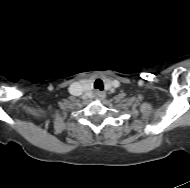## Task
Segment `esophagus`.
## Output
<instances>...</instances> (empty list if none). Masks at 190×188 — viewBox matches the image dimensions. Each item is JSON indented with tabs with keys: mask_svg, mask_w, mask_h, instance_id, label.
I'll use <instances>...</instances> for the list:
<instances>
[{
	"mask_svg": "<svg viewBox=\"0 0 190 188\" xmlns=\"http://www.w3.org/2000/svg\"><path fill=\"white\" fill-rule=\"evenodd\" d=\"M105 96H106L105 93L102 91H96L95 92V98L97 100H103L105 98Z\"/></svg>",
	"mask_w": 190,
	"mask_h": 188,
	"instance_id": "esophagus-1",
	"label": "esophagus"
}]
</instances>
